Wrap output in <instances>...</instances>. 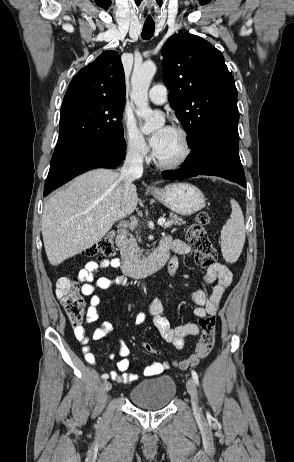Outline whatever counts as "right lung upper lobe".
Instances as JSON below:
<instances>
[{
	"label": "right lung upper lobe",
	"instance_id": "cb5924a9",
	"mask_svg": "<svg viewBox=\"0 0 294 462\" xmlns=\"http://www.w3.org/2000/svg\"><path fill=\"white\" fill-rule=\"evenodd\" d=\"M125 78L116 51H104L71 80L63 102L87 99H125Z\"/></svg>",
	"mask_w": 294,
	"mask_h": 462
}]
</instances>
